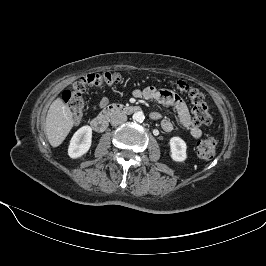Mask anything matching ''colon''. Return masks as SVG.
<instances>
[{"label":"colon","instance_id":"5ec220e1","mask_svg":"<svg viewBox=\"0 0 266 266\" xmlns=\"http://www.w3.org/2000/svg\"><path fill=\"white\" fill-rule=\"evenodd\" d=\"M119 81L120 76L116 72L91 73L75 82L70 90L65 91L63 99L71 110L74 123L79 124L82 119L84 93L87 88L112 87ZM174 86L178 91L188 95L195 125H209L212 122V117L204 96L197 89L190 87L183 81L175 82ZM216 146L217 142L214 138H205L197 144V154L201 159H212L216 153Z\"/></svg>","mask_w":266,"mask_h":266}]
</instances>
